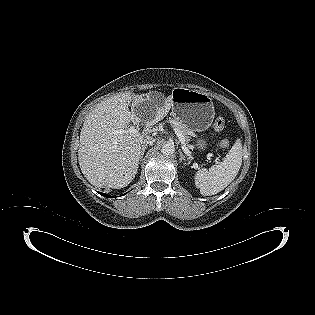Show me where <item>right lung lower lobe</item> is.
I'll use <instances>...</instances> for the list:
<instances>
[{
  "mask_svg": "<svg viewBox=\"0 0 315 315\" xmlns=\"http://www.w3.org/2000/svg\"><path fill=\"white\" fill-rule=\"evenodd\" d=\"M101 195H103V196H105V197H109V198H112V196H110V195H107V194H105V193H100Z\"/></svg>",
  "mask_w": 315,
  "mask_h": 315,
  "instance_id": "right-lung-lower-lobe-1",
  "label": "right lung lower lobe"
}]
</instances>
